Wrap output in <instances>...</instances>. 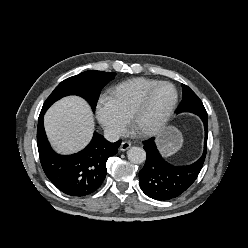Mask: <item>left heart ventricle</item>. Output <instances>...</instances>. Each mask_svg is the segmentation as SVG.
I'll use <instances>...</instances> for the list:
<instances>
[{
    "label": "left heart ventricle",
    "mask_w": 248,
    "mask_h": 248,
    "mask_svg": "<svg viewBox=\"0 0 248 248\" xmlns=\"http://www.w3.org/2000/svg\"><path fill=\"white\" fill-rule=\"evenodd\" d=\"M173 98L174 91L171 87L160 86L157 88L140 118L139 125L148 127L155 123L167 111Z\"/></svg>",
    "instance_id": "1"
}]
</instances>
